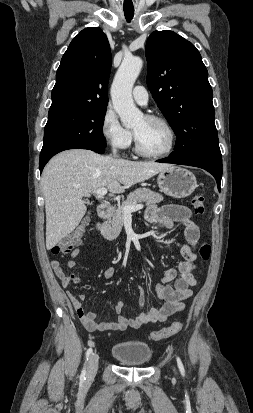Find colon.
<instances>
[{
  "instance_id": "colon-1",
  "label": "colon",
  "mask_w": 253,
  "mask_h": 413,
  "mask_svg": "<svg viewBox=\"0 0 253 413\" xmlns=\"http://www.w3.org/2000/svg\"><path fill=\"white\" fill-rule=\"evenodd\" d=\"M192 207L196 214H203L205 211V199L202 194H197L192 198ZM89 223V218L85 217L82 222L68 235H66L57 245L52 248L53 254L63 253L66 254L70 252L75 246L79 245L84 236L86 226ZM198 254L201 259L208 260L211 254V246L207 242H203L199 247ZM183 328L182 321L173 322L170 326L162 328L158 331H153L150 333V339L153 341H159L162 339L169 338Z\"/></svg>"
}]
</instances>
